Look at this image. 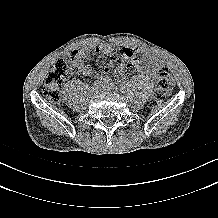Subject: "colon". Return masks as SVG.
<instances>
[{
	"label": "colon",
	"instance_id": "obj_1",
	"mask_svg": "<svg viewBox=\"0 0 218 218\" xmlns=\"http://www.w3.org/2000/svg\"><path fill=\"white\" fill-rule=\"evenodd\" d=\"M121 71L120 67L115 69L116 73ZM71 72V64L69 59H61L56 62L52 70L48 74L44 86L43 95L52 103L60 101V88L67 80ZM171 78L169 70L166 67H161L157 73V86L150 98L148 105L155 108L160 105L170 92Z\"/></svg>",
	"mask_w": 218,
	"mask_h": 218
}]
</instances>
